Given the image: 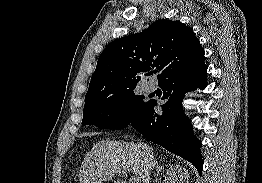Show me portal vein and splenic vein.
I'll use <instances>...</instances> for the list:
<instances>
[{
  "instance_id": "18ae733b",
  "label": "portal vein and splenic vein",
  "mask_w": 262,
  "mask_h": 183,
  "mask_svg": "<svg viewBox=\"0 0 262 183\" xmlns=\"http://www.w3.org/2000/svg\"><path fill=\"white\" fill-rule=\"evenodd\" d=\"M127 173H129V170L124 169V170L118 171L116 174H127ZM140 182H141V180H140L139 177H137V176L132 177V183H140Z\"/></svg>"
}]
</instances>
